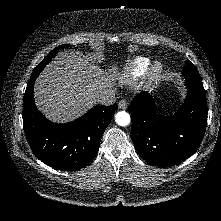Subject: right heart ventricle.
I'll return each mask as SVG.
<instances>
[{
    "label": "right heart ventricle",
    "instance_id": "right-heart-ventricle-1",
    "mask_svg": "<svg viewBox=\"0 0 221 221\" xmlns=\"http://www.w3.org/2000/svg\"><path fill=\"white\" fill-rule=\"evenodd\" d=\"M150 59L147 57H136L130 60L124 68L122 79L131 83L143 76L149 69Z\"/></svg>",
    "mask_w": 221,
    "mask_h": 221
}]
</instances>
